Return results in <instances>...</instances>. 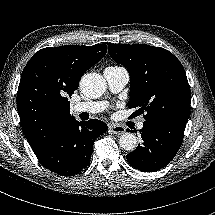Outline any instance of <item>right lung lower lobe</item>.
<instances>
[{"label": "right lung lower lobe", "instance_id": "obj_1", "mask_svg": "<svg viewBox=\"0 0 215 215\" xmlns=\"http://www.w3.org/2000/svg\"><path fill=\"white\" fill-rule=\"evenodd\" d=\"M101 120L68 121L36 155L48 170L72 176L86 168L91 159L95 139L107 131Z\"/></svg>", "mask_w": 215, "mask_h": 215}]
</instances>
